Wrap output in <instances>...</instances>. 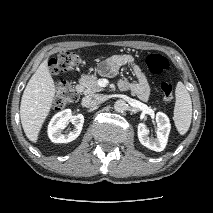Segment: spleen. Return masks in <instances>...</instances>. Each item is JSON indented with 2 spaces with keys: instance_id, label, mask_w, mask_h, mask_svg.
Here are the masks:
<instances>
[{
  "instance_id": "obj_1",
  "label": "spleen",
  "mask_w": 213,
  "mask_h": 213,
  "mask_svg": "<svg viewBox=\"0 0 213 213\" xmlns=\"http://www.w3.org/2000/svg\"><path fill=\"white\" fill-rule=\"evenodd\" d=\"M176 103L173 120L180 135L186 134L192 119V101L189 92L182 82H178L175 90Z\"/></svg>"
}]
</instances>
